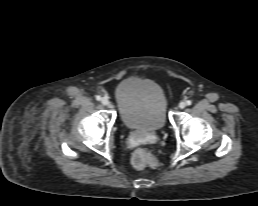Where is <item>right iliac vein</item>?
<instances>
[{
	"instance_id": "1",
	"label": "right iliac vein",
	"mask_w": 258,
	"mask_h": 206,
	"mask_svg": "<svg viewBox=\"0 0 258 206\" xmlns=\"http://www.w3.org/2000/svg\"><path fill=\"white\" fill-rule=\"evenodd\" d=\"M101 103H102L103 105H105V106H108V105L110 104V102H109V100H108L107 97H103V98L101 99Z\"/></svg>"
}]
</instances>
